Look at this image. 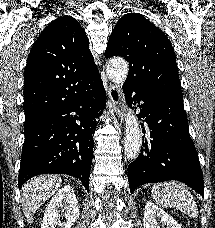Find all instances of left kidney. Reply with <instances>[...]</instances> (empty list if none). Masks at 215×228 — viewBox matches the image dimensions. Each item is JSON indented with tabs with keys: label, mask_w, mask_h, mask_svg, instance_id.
Returning <instances> with one entry per match:
<instances>
[{
	"label": "left kidney",
	"mask_w": 215,
	"mask_h": 228,
	"mask_svg": "<svg viewBox=\"0 0 215 228\" xmlns=\"http://www.w3.org/2000/svg\"><path fill=\"white\" fill-rule=\"evenodd\" d=\"M143 226L144 228H181L172 216L166 214L164 210H161L152 202H147L144 208Z\"/></svg>",
	"instance_id": "1"
}]
</instances>
